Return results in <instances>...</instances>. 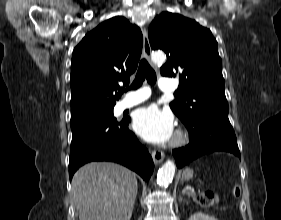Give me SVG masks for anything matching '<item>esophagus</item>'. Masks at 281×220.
<instances>
[{"label": "esophagus", "instance_id": "obj_1", "mask_svg": "<svg viewBox=\"0 0 281 220\" xmlns=\"http://www.w3.org/2000/svg\"><path fill=\"white\" fill-rule=\"evenodd\" d=\"M142 33H143V54L144 57L149 61L151 55V46H150L147 30L143 28ZM153 68L156 69V67L154 66ZM152 158L155 164H159L164 160L165 154L161 150H153Z\"/></svg>", "mask_w": 281, "mask_h": 220}]
</instances>
